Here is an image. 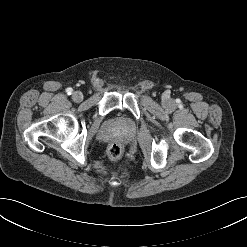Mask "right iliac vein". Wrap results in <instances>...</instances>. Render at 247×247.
I'll list each match as a JSON object with an SVG mask.
<instances>
[{"label":"right iliac vein","mask_w":247,"mask_h":247,"mask_svg":"<svg viewBox=\"0 0 247 247\" xmlns=\"http://www.w3.org/2000/svg\"><path fill=\"white\" fill-rule=\"evenodd\" d=\"M72 99L75 101V102H81L82 99H83V94L82 92L80 91H75L72 95Z\"/></svg>","instance_id":"63e3f726"}]
</instances>
